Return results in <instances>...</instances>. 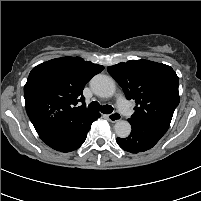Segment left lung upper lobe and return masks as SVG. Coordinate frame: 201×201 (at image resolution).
<instances>
[{
    "mask_svg": "<svg viewBox=\"0 0 201 201\" xmlns=\"http://www.w3.org/2000/svg\"><path fill=\"white\" fill-rule=\"evenodd\" d=\"M123 88L127 99L136 102L130 124L168 130L179 104V79L168 65L148 60H133L107 68Z\"/></svg>",
    "mask_w": 201,
    "mask_h": 201,
    "instance_id": "obj_1",
    "label": "left lung upper lobe"
}]
</instances>
